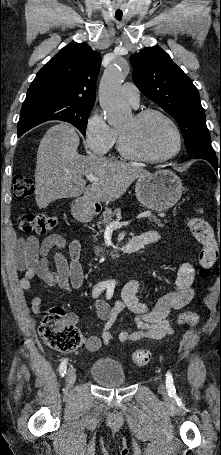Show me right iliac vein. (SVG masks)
<instances>
[{
  "label": "right iliac vein",
  "instance_id": "right-iliac-vein-1",
  "mask_svg": "<svg viewBox=\"0 0 221 455\" xmlns=\"http://www.w3.org/2000/svg\"><path fill=\"white\" fill-rule=\"evenodd\" d=\"M76 380V372L73 368L68 369L66 374L67 386L72 387Z\"/></svg>",
  "mask_w": 221,
  "mask_h": 455
}]
</instances>
